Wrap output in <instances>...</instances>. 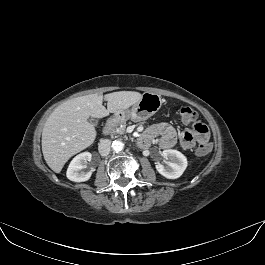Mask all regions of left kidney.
I'll return each instance as SVG.
<instances>
[{
    "instance_id": "obj_1",
    "label": "left kidney",
    "mask_w": 265,
    "mask_h": 265,
    "mask_svg": "<svg viewBox=\"0 0 265 265\" xmlns=\"http://www.w3.org/2000/svg\"><path fill=\"white\" fill-rule=\"evenodd\" d=\"M162 156L165 160L156 164V170L168 179L179 178L187 167V158L174 149L164 150Z\"/></svg>"
}]
</instances>
